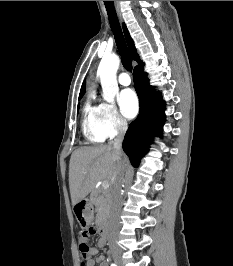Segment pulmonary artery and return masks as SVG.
I'll return each mask as SVG.
<instances>
[{
    "instance_id": "1",
    "label": "pulmonary artery",
    "mask_w": 233,
    "mask_h": 266,
    "mask_svg": "<svg viewBox=\"0 0 233 266\" xmlns=\"http://www.w3.org/2000/svg\"><path fill=\"white\" fill-rule=\"evenodd\" d=\"M119 84L123 85V86H128L131 83V79L129 77V75L125 72H122L118 75L117 78Z\"/></svg>"
}]
</instances>
